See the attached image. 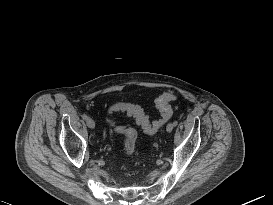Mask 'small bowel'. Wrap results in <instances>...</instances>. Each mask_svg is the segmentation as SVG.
<instances>
[{
  "label": "small bowel",
  "instance_id": "small-bowel-1",
  "mask_svg": "<svg viewBox=\"0 0 273 205\" xmlns=\"http://www.w3.org/2000/svg\"><path fill=\"white\" fill-rule=\"evenodd\" d=\"M118 104H123V105H124V108H123V110H122V111H124V112H127L128 106L131 105V104H128V103H118ZM127 113H128V112H127Z\"/></svg>",
  "mask_w": 273,
  "mask_h": 205
}]
</instances>
